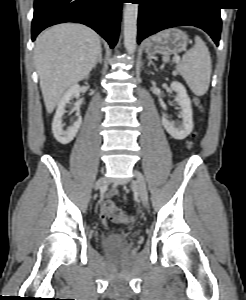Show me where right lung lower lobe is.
Segmentation results:
<instances>
[{
    "label": "right lung lower lobe",
    "mask_w": 246,
    "mask_h": 300,
    "mask_svg": "<svg viewBox=\"0 0 246 300\" xmlns=\"http://www.w3.org/2000/svg\"><path fill=\"white\" fill-rule=\"evenodd\" d=\"M123 0H35L32 41L45 28L63 22L85 24L113 48L118 40Z\"/></svg>",
    "instance_id": "1"
}]
</instances>
